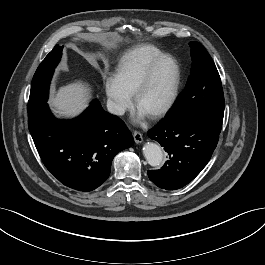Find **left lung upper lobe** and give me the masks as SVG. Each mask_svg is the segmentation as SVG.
<instances>
[{"label":"left lung upper lobe","instance_id":"left-lung-upper-lobe-1","mask_svg":"<svg viewBox=\"0 0 265 265\" xmlns=\"http://www.w3.org/2000/svg\"><path fill=\"white\" fill-rule=\"evenodd\" d=\"M192 66L185 90L166 117L193 116L221 131L224 115V95L217 68L198 42L189 43Z\"/></svg>","mask_w":265,"mask_h":265}]
</instances>
